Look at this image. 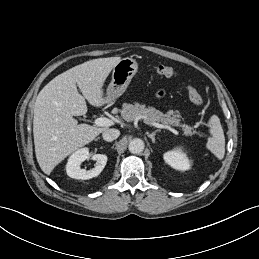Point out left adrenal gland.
Here are the masks:
<instances>
[{
    "label": "left adrenal gland",
    "instance_id": "1",
    "mask_svg": "<svg viewBox=\"0 0 259 259\" xmlns=\"http://www.w3.org/2000/svg\"><path fill=\"white\" fill-rule=\"evenodd\" d=\"M157 132H158V130H156V131H154V132H152V133H147V136H148L149 138H151V140H152L153 143H155V135H156Z\"/></svg>",
    "mask_w": 259,
    "mask_h": 259
}]
</instances>
